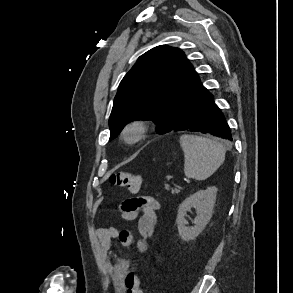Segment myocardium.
Segmentation results:
<instances>
[{
	"mask_svg": "<svg viewBox=\"0 0 293 293\" xmlns=\"http://www.w3.org/2000/svg\"><path fill=\"white\" fill-rule=\"evenodd\" d=\"M148 132V126L144 121L134 120L125 125L122 131V136L125 141L130 144H135L142 141ZM130 135H132L130 137Z\"/></svg>",
	"mask_w": 293,
	"mask_h": 293,
	"instance_id": "f54148a6",
	"label": "myocardium"
}]
</instances>
